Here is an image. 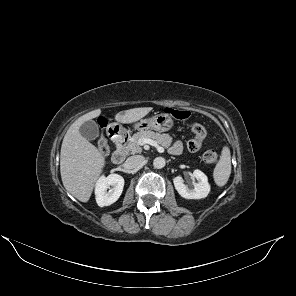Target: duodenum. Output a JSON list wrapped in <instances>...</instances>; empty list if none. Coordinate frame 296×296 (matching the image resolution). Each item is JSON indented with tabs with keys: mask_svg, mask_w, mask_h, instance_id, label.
Segmentation results:
<instances>
[{
	"mask_svg": "<svg viewBox=\"0 0 296 296\" xmlns=\"http://www.w3.org/2000/svg\"><path fill=\"white\" fill-rule=\"evenodd\" d=\"M108 134L117 144V149L113 152L111 160L116 165L122 164L126 158L125 146L127 142V135L124 131L114 126L109 127Z\"/></svg>",
	"mask_w": 296,
	"mask_h": 296,
	"instance_id": "410a0bca",
	"label": "duodenum"
}]
</instances>
